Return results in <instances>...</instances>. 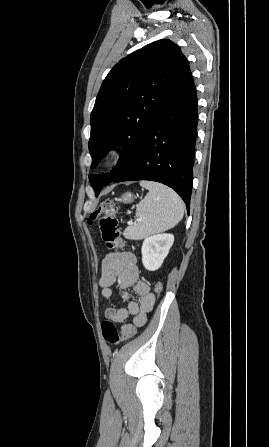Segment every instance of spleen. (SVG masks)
Here are the masks:
<instances>
[{
	"mask_svg": "<svg viewBox=\"0 0 269 447\" xmlns=\"http://www.w3.org/2000/svg\"><path fill=\"white\" fill-rule=\"evenodd\" d=\"M140 186L149 192L137 206L136 216L141 222L124 229L123 235L127 239H143L152 233L166 231L184 216V204L174 190L158 182H140Z\"/></svg>",
	"mask_w": 269,
	"mask_h": 447,
	"instance_id": "obj_1",
	"label": "spleen"
}]
</instances>
